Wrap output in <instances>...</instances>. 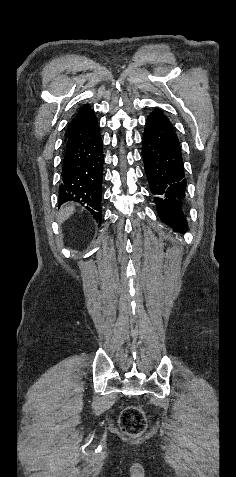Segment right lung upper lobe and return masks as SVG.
Wrapping results in <instances>:
<instances>
[{"label":"right lung upper lobe","instance_id":"cb5924a9","mask_svg":"<svg viewBox=\"0 0 236 477\" xmlns=\"http://www.w3.org/2000/svg\"><path fill=\"white\" fill-rule=\"evenodd\" d=\"M92 111L93 110H91L90 106L88 105H84L82 108H80L75 118L72 120L69 130L79 125L86 118V116Z\"/></svg>","mask_w":236,"mask_h":477}]
</instances>
